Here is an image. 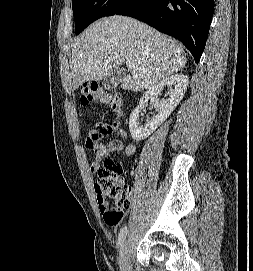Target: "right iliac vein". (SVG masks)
Here are the masks:
<instances>
[{"mask_svg": "<svg viewBox=\"0 0 253 271\" xmlns=\"http://www.w3.org/2000/svg\"><path fill=\"white\" fill-rule=\"evenodd\" d=\"M119 264L121 271H130L129 245L126 241L121 246Z\"/></svg>", "mask_w": 253, "mask_h": 271, "instance_id": "63e3f726", "label": "right iliac vein"}]
</instances>
